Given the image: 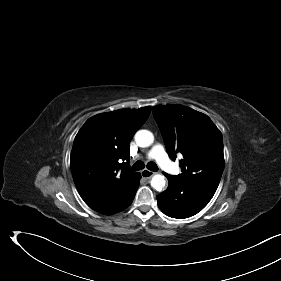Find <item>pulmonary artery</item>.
Masks as SVG:
<instances>
[{
  "label": "pulmonary artery",
  "mask_w": 281,
  "mask_h": 281,
  "mask_svg": "<svg viewBox=\"0 0 281 281\" xmlns=\"http://www.w3.org/2000/svg\"><path fill=\"white\" fill-rule=\"evenodd\" d=\"M148 156L149 158L155 159L163 170L172 174H177L179 172L178 168L168 158L162 145H154Z\"/></svg>",
  "instance_id": "obj_1"
}]
</instances>
